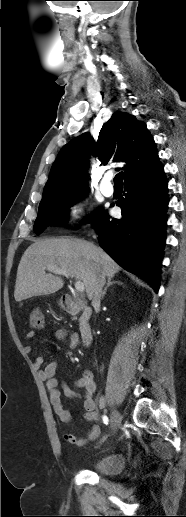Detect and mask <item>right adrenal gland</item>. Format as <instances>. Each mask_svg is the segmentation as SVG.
<instances>
[{"label": "right adrenal gland", "mask_w": 186, "mask_h": 517, "mask_svg": "<svg viewBox=\"0 0 186 517\" xmlns=\"http://www.w3.org/2000/svg\"><path fill=\"white\" fill-rule=\"evenodd\" d=\"M113 284L122 285L123 283H122L121 281H112V279H111V278H109V279H108V281H107V285H106V287L104 288V290H103V291H102V293H101V297H102V299L104 298V296H105V294H106V292H107L108 287H109V286H111V285H113Z\"/></svg>", "instance_id": "obj_1"}]
</instances>
